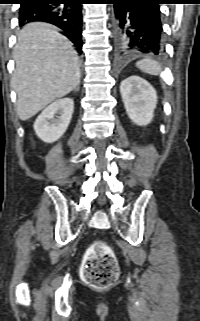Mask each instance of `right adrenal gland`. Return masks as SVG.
<instances>
[{
	"instance_id": "1",
	"label": "right adrenal gland",
	"mask_w": 200,
	"mask_h": 321,
	"mask_svg": "<svg viewBox=\"0 0 200 321\" xmlns=\"http://www.w3.org/2000/svg\"><path fill=\"white\" fill-rule=\"evenodd\" d=\"M79 88H80V85H78V86L74 89V91H75V92H78V91H79Z\"/></svg>"
}]
</instances>
